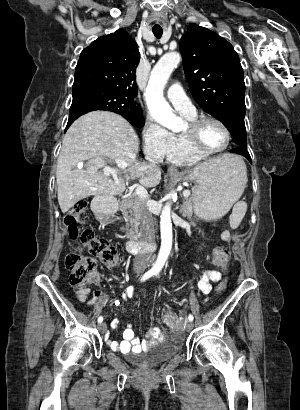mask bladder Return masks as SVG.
<instances>
[{
  "mask_svg": "<svg viewBox=\"0 0 300 410\" xmlns=\"http://www.w3.org/2000/svg\"><path fill=\"white\" fill-rule=\"evenodd\" d=\"M178 352L179 346L175 342H157L142 354H127L126 359L139 367H153L165 363Z\"/></svg>",
  "mask_w": 300,
  "mask_h": 410,
  "instance_id": "obj_1",
  "label": "bladder"
}]
</instances>
